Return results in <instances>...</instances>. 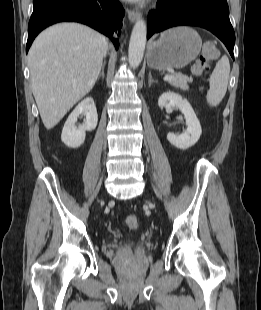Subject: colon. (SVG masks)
Returning <instances> with one entry per match:
<instances>
[{"label":"colon","mask_w":261,"mask_h":310,"mask_svg":"<svg viewBox=\"0 0 261 310\" xmlns=\"http://www.w3.org/2000/svg\"><path fill=\"white\" fill-rule=\"evenodd\" d=\"M218 57V50L213 43H206L203 47L199 60L193 66V73L201 75L210 66L211 62ZM126 225L130 229H137L139 227V219L135 215H130L126 218Z\"/></svg>","instance_id":"obj_1"}]
</instances>
